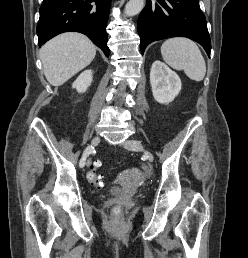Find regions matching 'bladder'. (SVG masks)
I'll use <instances>...</instances> for the list:
<instances>
[{
    "label": "bladder",
    "mask_w": 248,
    "mask_h": 258,
    "mask_svg": "<svg viewBox=\"0 0 248 258\" xmlns=\"http://www.w3.org/2000/svg\"><path fill=\"white\" fill-rule=\"evenodd\" d=\"M108 194L110 195H123V194H127L123 189H121L120 187H113L108 191Z\"/></svg>",
    "instance_id": "bladder-1"
}]
</instances>
